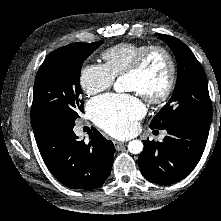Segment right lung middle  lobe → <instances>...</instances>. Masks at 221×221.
<instances>
[{
    "instance_id": "right-lung-middle-lobe-1",
    "label": "right lung middle lobe",
    "mask_w": 221,
    "mask_h": 221,
    "mask_svg": "<svg viewBox=\"0 0 221 221\" xmlns=\"http://www.w3.org/2000/svg\"><path fill=\"white\" fill-rule=\"evenodd\" d=\"M102 43H72L47 56L34 83L33 128L52 119L75 122L78 114L84 111L80 97V70L83 62Z\"/></svg>"
}]
</instances>
